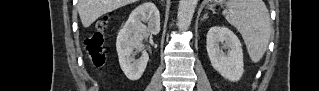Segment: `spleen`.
Here are the masks:
<instances>
[{"label": "spleen", "instance_id": "3e777b00", "mask_svg": "<svg viewBox=\"0 0 319 91\" xmlns=\"http://www.w3.org/2000/svg\"><path fill=\"white\" fill-rule=\"evenodd\" d=\"M225 18L242 35L252 62L265 54L270 35V15L262 0H229Z\"/></svg>", "mask_w": 319, "mask_h": 91}]
</instances>
